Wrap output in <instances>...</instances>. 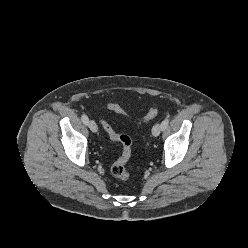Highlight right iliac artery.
I'll return each instance as SVG.
<instances>
[{
  "instance_id": "right-iliac-artery-1",
  "label": "right iliac artery",
  "mask_w": 248,
  "mask_h": 248,
  "mask_svg": "<svg viewBox=\"0 0 248 248\" xmlns=\"http://www.w3.org/2000/svg\"><path fill=\"white\" fill-rule=\"evenodd\" d=\"M81 120H82V122H83L85 125H87L88 122H89V119H88L87 115H85V114H83V115L81 116Z\"/></svg>"
}]
</instances>
